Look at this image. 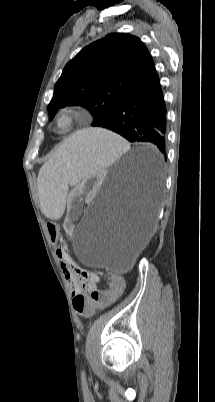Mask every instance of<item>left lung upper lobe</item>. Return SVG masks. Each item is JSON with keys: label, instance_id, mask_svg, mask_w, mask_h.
<instances>
[{"label": "left lung upper lobe", "instance_id": "5c2ea615", "mask_svg": "<svg viewBox=\"0 0 215 402\" xmlns=\"http://www.w3.org/2000/svg\"><path fill=\"white\" fill-rule=\"evenodd\" d=\"M154 68L137 37L112 33L82 49L69 61L54 87L49 118L67 105L86 107L97 126L113 113Z\"/></svg>", "mask_w": 215, "mask_h": 402}]
</instances>
